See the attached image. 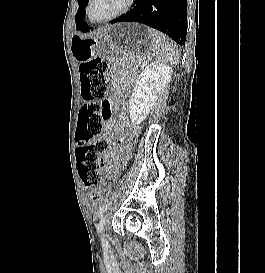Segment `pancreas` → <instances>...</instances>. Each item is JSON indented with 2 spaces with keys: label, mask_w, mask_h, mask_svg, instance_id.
I'll use <instances>...</instances> for the list:
<instances>
[{
  "label": "pancreas",
  "mask_w": 265,
  "mask_h": 273,
  "mask_svg": "<svg viewBox=\"0 0 265 273\" xmlns=\"http://www.w3.org/2000/svg\"><path fill=\"white\" fill-rule=\"evenodd\" d=\"M137 63L144 64L145 62L143 60H138Z\"/></svg>",
  "instance_id": "1"
}]
</instances>
